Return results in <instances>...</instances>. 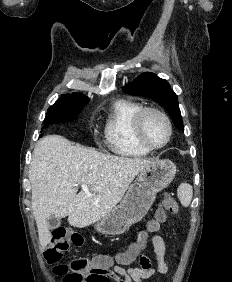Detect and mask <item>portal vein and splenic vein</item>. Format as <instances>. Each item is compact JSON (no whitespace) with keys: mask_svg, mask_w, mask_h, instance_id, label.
I'll use <instances>...</instances> for the list:
<instances>
[{"mask_svg":"<svg viewBox=\"0 0 232 282\" xmlns=\"http://www.w3.org/2000/svg\"><path fill=\"white\" fill-rule=\"evenodd\" d=\"M80 185H81V188H82L85 192L89 193V192H88V188H87V185H86V184L81 183Z\"/></svg>","mask_w":232,"mask_h":282,"instance_id":"1","label":"portal vein and splenic vein"}]
</instances>
